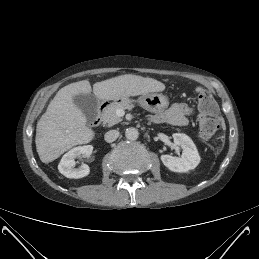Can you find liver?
Segmentation results:
<instances>
[{
    "label": "liver",
    "instance_id": "liver-1",
    "mask_svg": "<svg viewBox=\"0 0 259 259\" xmlns=\"http://www.w3.org/2000/svg\"><path fill=\"white\" fill-rule=\"evenodd\" d=\"M165 85L153 78L126 74L97 82L93 93L100 100H112L160 92ZM92 88L88 80L71 83L61 88L50 102L36 128V149L40 160L49 163L71 147L89 143L94 132L87 125V118L74 104L73 96L89 94Z\"/></svg>",
    "mask_w": 259,
    "mask_h": 259
}]
</instances>
